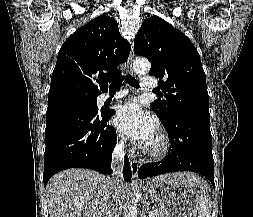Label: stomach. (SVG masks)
<instances>
[{
    "label": "stomach",
    "mask_w": 253,
    "mask_h": 217,
    "mask_svg": "<svg viewBox=\"0 0 253 217\" xmlns=\"http://www.w3.org/2000/svg\"><path fill=\"white\" fill-rule=\"evenodd\" d=\"M144 190L159 203L166 217H197L200 196L196 186L167 174L158 181L146 183Z\"/></svg>",
    "instance_id": "stomach-1"
}]
</instances>
